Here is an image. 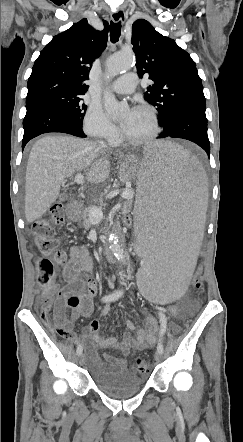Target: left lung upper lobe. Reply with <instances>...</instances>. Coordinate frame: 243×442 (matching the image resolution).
I'll return each instance as SVG.
<instances>
[{"label":"left lung upper lobe","instance_id":"left-lung-upper-lobe-1","mask_svg":"<svg viewBox=\"0 0 243 442\" xmlns=\"http://www.w3.org/2000/svg\"><path fill=\"white\" fill-rule=\"evenodd\" d=\"M131 42L138 75H149L154 82L147 87L145 98L159 112L160 125L180 102L205 98L195 62L174 40L161 35L148 21L138 19L132 25Z\"/></svg>","mask_w":243,"mask_h":442}]
</instances>
